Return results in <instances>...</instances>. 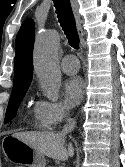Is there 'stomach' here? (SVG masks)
<instances>
[{"mask_svg": "<svg viewBox=\"0 0 125 167\" xmlns=\"http://www.w3.org/2000/svg\"><path fill=\"white\" fill-rule=\"evenodd\" d=\"M3 142L5 156L14 163H24L29 167H45V156L37 149L15 138L7 137Z\"/></svg>", "mask_w": 125, "mask_h": 167, "instance_id": "1", "label": "stomach"}]
</instances>
